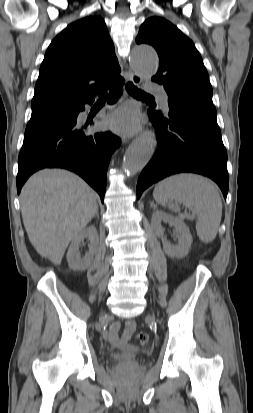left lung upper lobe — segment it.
<instances>
[{"label":"left lung upper lobe","instance_id":"1","mask_svg":"<svg viewBox=\"0 0 253 413\" xmlns=\"http://www.w3.org/2000/svg\"><path fill=\"white\" fill-rule=\"evenodd\" d=\"M136 42L150 44L156 49L160 61L152 81L164 86L168 104H186L216 113L201 55L175 25L164 18L151 17L141 25Z\"/></svg>","mask_w":253,"mask_h":413}]
</instances>
